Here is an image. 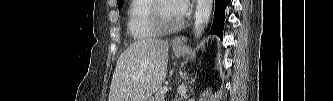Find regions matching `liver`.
<instances>
[{"label":"liver","mask_w":333,"mask_h":101,"mask_svg":"<svg viewBox=\"0 0 333 101\" xmlns=\"http://www.w3.org/2000/svg\"><path fill=\"white\" fill-rule=\"evenodd\" d=\"M168 41L142 39L119 57L108 101H147L166 77Z\"/></svg>","instance_id":"1"}]
</instances>
